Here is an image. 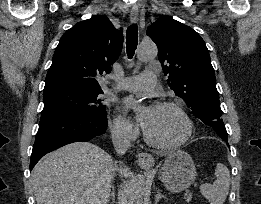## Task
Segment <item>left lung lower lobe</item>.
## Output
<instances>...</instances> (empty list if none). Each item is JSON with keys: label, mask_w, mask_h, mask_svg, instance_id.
<instances>
[{"label": "left lung lower lobe", "mask_w": 261, "mask_h": 204, "mask_svg": "<svg viewBox=\"0 0 261 204\" xmlns=\"http://www.w3.org/2000/svg\"><path fill=\"white\" fill-rule=\"evenodd\" d=\"M226 143H227V145H228V141L227 140H224Z\"/></svg>", "instance_id": "1"}]
</instances>
